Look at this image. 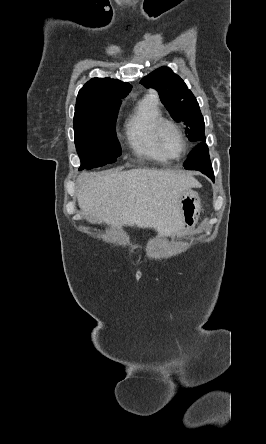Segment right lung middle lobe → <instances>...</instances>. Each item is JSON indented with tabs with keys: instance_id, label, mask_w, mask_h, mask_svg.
<instances>
[{
	"instance_id": "1",
	"label": "right lung middle lobe",
	"mask_w": 266,
	"mask_h": 444,
	"mask_svg": "<svg viewBox=\"0 0 266 444\" xmlns=\"http://www.w3.org/2000/svg\"><path fill=\"white\" fill-rule=\"evenodd\" d=\"M121 100L98 102L75 108L74 133L80 170L113 163L121 155L115 122Z\"/></svg>"
}]
</instances>
